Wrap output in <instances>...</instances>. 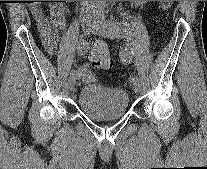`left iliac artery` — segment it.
<instances>
[{
  "label": "left iliac artery",
  "instance_id": "1",
  "mask_svg": "<svg viewBox=\"0 0 207 169\" xmlns=\"http://www.w3.org/2000/svg\"><path fill=\"white\" fill-rule=\"evenodd\" d=\"M104 18V17H103ZM111 28L119 35H123L126 32V27L127 24L122 23V22H117V21H108ZM131 47L130 46H123V49H121L120 53V58L122 61V64H129L131 61V56H130V51ZM139 81V78L137 76H131L130 77V82H136Z\"/></svg>",
  "mask_w": 207,
  "mask_h": 169
}]
</instances>
